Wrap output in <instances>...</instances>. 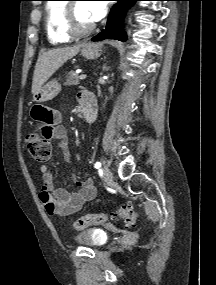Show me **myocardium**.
Wrapping results in <instances>:
<instances>
[{
  "instance_id": "1",
  "label": "myocardium",
  "mask_w": 216,
  "mask_h": 285,
  "mask_svg": "<svg viewBox=\"0 0 216 285\" xmlns=\"http://www.w3.org/2000/svg\"><path fill=\"white\" fill-rule=\"evenodd\" d=\"M64 28L70 37L79 38L92 33L95 29V25L92 24L88 27H81L75 16V2H68L64 13Z\"/></svg>"
}]
</instances>
